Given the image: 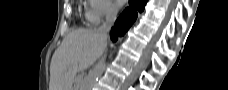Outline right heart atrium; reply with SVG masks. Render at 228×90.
Returning <instances> with one entry per match:
<instances>
[{
	"instance_id": "1",
	"label": "right heart atrium",
	"mask_w": 228,
	"mask_h": 90,
	"mask_svg": "<svg viewBox=\"0 0 228 90\" xmlns=\"http://www.w3.org/2000/svg\"><path fill=\"white\" fill-rule=\"evenodd\" d=\"M88 11L89 20L94 24H99L104 19H109L116 13V8L108 0H90Z\"/></svg>"
}]
</instances>
